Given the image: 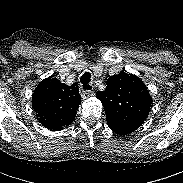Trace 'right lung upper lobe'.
Here are the masks:
<instances>
[{
	"instance_id": "cb5924a9",
	"label": "right lung upper lobe",
	"mask_w": 183,
	"mask_h": 183,
	"mask_svg": "<svg viewBox=\"0 0 183 183\" xmlns=\"http://www.w3.org/2000/svg\"><path fill=\"white\" fill-rule=\"evenodd\" d=\"M80 104L76 83L68 86L51 77L42 80L32 95L37 119L43 126L55 131L74 121Z\"/></svg>"
}]
</instances>
